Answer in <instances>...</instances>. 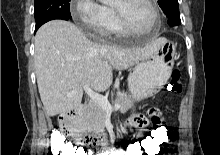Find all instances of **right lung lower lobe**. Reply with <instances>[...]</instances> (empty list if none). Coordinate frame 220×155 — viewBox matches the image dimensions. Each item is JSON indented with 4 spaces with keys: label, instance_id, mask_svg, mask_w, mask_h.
Here are the masks:
<instances>
[{
    "label": "right lung lower lobe",
    "instance_id": "right-lung-lower-lobe-1",
    "mask_svg": "<svg viewBox=\"0 0 220 155\" xmlns=\"http://www.w3.org/2000/svg\"><path fill=\"white\" fill-rule=\"evenodd\" d=\"M39 27H40V26H36L35 32L37 31V29H38Z\"/></svg>",
    "mask_w": 220,
    "mask_h": 155
}]
</instances>
